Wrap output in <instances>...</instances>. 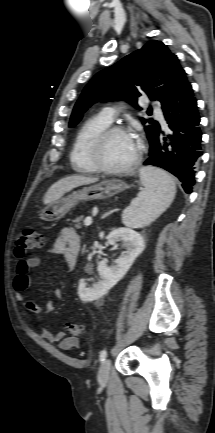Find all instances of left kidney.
Masks as SVG:
<instances>
[{"label":"left kidney","mask_w":215,"mask_h":433,"mask_svg":"<svg viewBox=\"0 0 215 433\" xmlns=\"http://www.w3.org/2000/svg\"><path fill=\"white\" fill-rule=\"evenodd\" d=\"M107 241L110 245L121 242L125 251L116 259L114 266L109 267L106 259L99 263L97 270L101 281L93 284L92 287H87L84 279L79 280L78 296L83 302H91L105 295L121 280L145 248L142 235L125 227L111 231L107 236Z\"/></svg>","instance_id":"1"}]
</instances>
